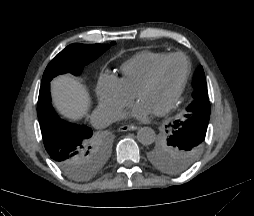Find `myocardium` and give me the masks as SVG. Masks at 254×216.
Instances as JSON below:
<instances>
[{"label":"myocardium","instance_id":"myocardium-1","mask_svg":"<svg viewBox=\"0 0 254 216\" xmlns=\"http://www.w3.org/2000/svg\"><path fill=\"white\" fill-rule=\"evenodd\" d=\"M173 58H182L185 61V64H186L185 73H184V76H183L178 88L176 89L173 97L169 101V103L164 108L154 112L155 115H157V116H162V115L167 114L176 106V104H177V102H178V100H179V98L186 86V83L188 81V78H189V75L191 72V63H190L188 57L180 52L168 54L166 57H164L162 60H160L154 66V68L152 69V71L150 72V74L148 75L146 80L139 86V88L135 92V98L138 99L141 92L148 89L156 81L163 65Z\"/></svg>","mask_w":254,"mask_h":216}]
</instances>
